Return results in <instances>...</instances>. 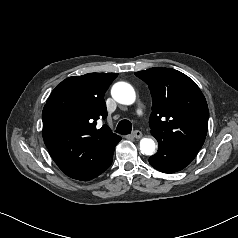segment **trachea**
I'll use <instances>...</instances> for the list:
<instances>
[{"label":"trachea","instance_id":"3493384b","mask_svg":"<svg viewBox=\"0 0 238 238\" xmlns=\"http://www.w3.org/2000/svg\"><path fill=\"white\" fill-rule=\"evenodd\" d=\"M132 130V124L129 120H121L116 128V132L121 135L130 134Z\"/></svg>","mask_w":238,"mask_h":238}]
</instances>
